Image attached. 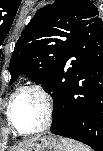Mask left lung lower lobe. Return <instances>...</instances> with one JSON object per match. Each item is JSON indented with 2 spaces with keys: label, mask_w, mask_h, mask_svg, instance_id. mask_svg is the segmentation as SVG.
Returning a JSON list of instances; mask_svg holds the SVG:
<instances>
[{
  "label": "left lung lower lobe",
  "mask_w": 103,
  "mask_h": 151,
  "mask_svg": "<svg viewBox=\"0 0 103 151\" xmlns=\"http://www.w3.org/2000/svg\"><path fill=\"white\" fill-rule=\"evenodd\" d=\"M71 57L75 60L70 61ZM54 105L51 132L103 151V25L84 30L44 86Z\"/></svg>",
  "instance_id": "1"
}]
</instances>
